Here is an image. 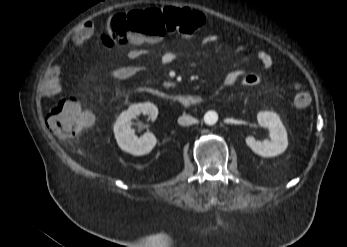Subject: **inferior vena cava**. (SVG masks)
I'll list each match as a JSON object with an SVG mask.
<instances>
[{"instance_id": "1", "label": "inferior vena cava", "mask_w": 347, "mask_h": 247, "mask_svg": "<svg viewBox=\"0 0 347 247\" xmlns=\"http://www.w3.org/2000/svg\"><path fill=\"white\" fill-rule=\"evenodd\" d=\"M178 123L183 126H188L197 123V120L189 115H183L178 118Z\"/></svg>"}]
</instances>
